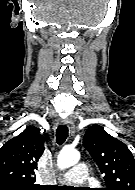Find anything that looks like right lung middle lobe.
<instances>
[{"instance_id": "dd1d6c3e", "label": "right lung middle lobe", "mask_w": 135, "mask_h": 190, "mask_svg": "<svg viewBox=\"0 0 135 190\" xmlns=\"http://www.w3.org/2000/svg\"><path fill=\"white\" fill-rule=\"evenodd\" d=\"M40 188H19L15 186H1L0 190H39Z\"/></svg>"}]
</instances>
